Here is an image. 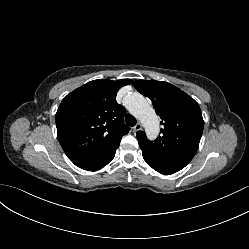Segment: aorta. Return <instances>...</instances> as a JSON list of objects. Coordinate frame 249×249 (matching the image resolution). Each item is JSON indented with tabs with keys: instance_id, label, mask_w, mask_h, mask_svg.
Returning a JSON list of instances; mask_svg holds the SVG:
<instances>
[{
	"instance_id": "obj_1",
	"label": "aorta",
	"mask_w": 249,
	"mask_h": 249,
	"mask_svg": "<svg viewBox=\"0 0 249 249\" xmlns=\"http://www.w3.org/2000/svg\"><path fill=\"white\" fill-rule=\"evenodd\" d=\"M127 108L129 112L143 124L147 136L155 139L159 134V118L152 106L143 95L132 93L128 96Z\"/></svg>"
}]
</instances>
